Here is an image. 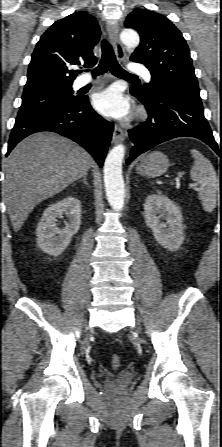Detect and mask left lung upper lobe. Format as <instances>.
Masks as SVG:
<instances>
[{"label":"left lung upper lobe","mask_w":222,"mask_h":447,"mask_svg":"<svg viewBox=\"0 0 222 447\" xmlns=\"http://www.w3.org/2000/svg\"><path fill=\"white\" fill-rule=\"evenodd\" d=\"M125 27L140 34V45L130 59L143 63L152 75L150 84L133 86L131 90L153 98L170 88L201 101L189 48L181 32L165 16L138 9L128 15Z\"/></svg>","instance_id":"obj_1"}]
</instances>
